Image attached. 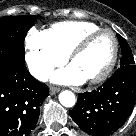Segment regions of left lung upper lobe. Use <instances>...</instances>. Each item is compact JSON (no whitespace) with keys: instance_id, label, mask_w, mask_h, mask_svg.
I'll return each instance as SVG.
<instances>
[{"instance_id":"left-lung-upper-lobe-1","label":"left lung upper lobe","mask_w":136,"mask_h":136,"mask_svg":"<svg viewBox=\"0 0 136 136\" xmlns=\"http://www.w3.org/2000/svg\"><path fill=\"white\" fill-rule=\"evenodd\" d=\"M117 37H118V41L121 46V55H122L121 60H120V67L128 66V65H135L132 51L129 45L127 44L126 40L119 34L117 35Z\"/></svg>"}]
</instances>
